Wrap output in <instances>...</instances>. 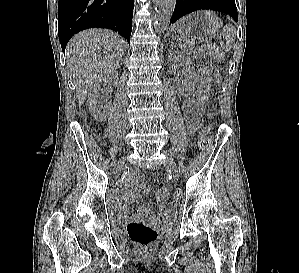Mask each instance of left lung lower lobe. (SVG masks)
I'll list each match as a JSON object with an SVG mask.
<instances>
[{
  "instance_id": "1",
  "label": "left lung lower lobe",
  "mask_w": 299,
  "mask_h": 273,
  "mask_svg": "<svg viewBox=\"0 0 299 273\" xmlns=\"http://www.w3.org/2000/svg\"><path fill=\"white\" fill-rule=\"evenodd\" d=\"M201 9L223 12L238 21L235 0H176L170 23H174L182 16Z\"/></svg>"
}]
</instances>
